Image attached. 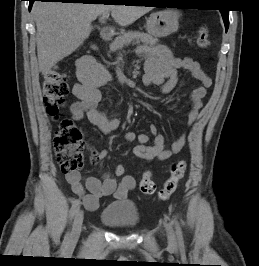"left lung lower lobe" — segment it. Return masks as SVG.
Segmentation results:
<instances>
[{"mask_svg":"<svg viewBox=\"0 0 259 266\" xmlns=\"http://www.w3.org/2000/svg\"><path fill=\"white\" fill-rule=\"evenodd\" d=\"M221 13H222V18H223V21H224V24H225V28H226V31L228 29V26H229V11L228 10H220Z\"/></svg>","mask_w":259,"mask_h":266,"instance_id":"left-lung-lower-lobe-1","label":"left lung lower lobe"}]
</instances>
